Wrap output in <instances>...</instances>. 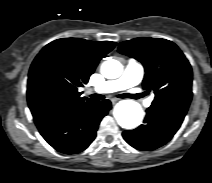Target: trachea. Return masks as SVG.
<instances>
[{
    "mask_svg": "<svg viewBox=\"0 0 212 183\" xmlns=\"http://www.w3.org/2000/svg\"><path fill=\"white\" fill-rule=\"evenodd\" d=\"M132 96L133 95H130V94H120L117 97L118 98H132ZM90 97L95 101H99V100H102L105 98L104 95H101V94H92V95H90Z\"/></svg>",
    "mask_w": 212,
    "mask_h": 183,
    "instance_id": "obj_1",
    "label": "trachea"
}]
</instances>
